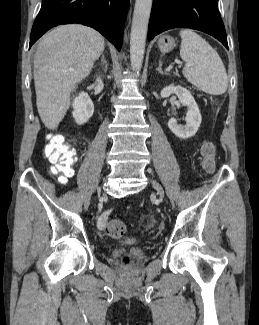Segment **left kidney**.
<instances>
[{
  "label": "left kidney",
  "mask_w": 259,
  "mask_h": 325,
  "mask_svg": "<svg viewBox=\"0 0 259 325\" xmlns=\"http://www.w3.org/2000/svg\"><path fill=\"white\" fill-rule=\"evenodd\" d=\"M171 94H176L179 101L188 107V111L186 113L185 126L178 125L176 119L171 118L168 122L169 129L181 139L194 136L202 120L197 103L191 93L182 86L169 85L160 93L163 98H167Z\"/></svg>",
  "instance_id": "left-kidney-1"
}]
</instances>
